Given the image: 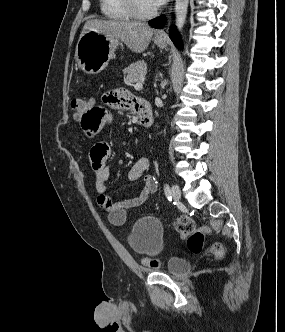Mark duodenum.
Listing matches in <instances>:
<instances>
[{
  "mask_svg": "<svg viewBox=\"0 0 285 332\" xmlns=\"http://www.w3.org/2000/svg\"><path fill=\"white\" fill-rule=\"evenodd\" d=\"M137 107L141 125L150 129L154 121L150 104L146 100L138 99Z\"/></svg>",
  "mask_w": 285,
  "mask_h": 332,
  "instance_id": "obj_1",
  "label": "duodenum"
}]
</instances>
